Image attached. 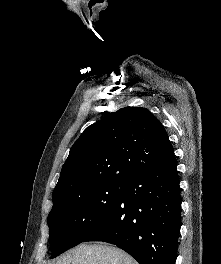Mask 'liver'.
<instances>
[{"label":"liver","mask_w":221,"mask_h":264,"mask_svg":"<svg viewBox=\"0 0 221 264\" xmlns=\"http://www.w3.org/2000/svg\"><path fill=\"white\" fill-rule=\"evenodd\" d=\"M48 264H138L124 251L103 244L79 245Z\"/></svg>","instance_id":"liver-1"}]
</instances>
